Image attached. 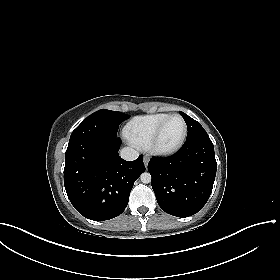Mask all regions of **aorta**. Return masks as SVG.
Here are the masks:
<instances>
[{
	"label": "aorta",
	"instance_id": "obj_1",
	"mask_svg": "<svg viewBox=\"0 0 280 280\" xmlns=\"http://www.w3.org/2000/svg\"><path fill=\"white\" fill-rule=\"evenodd\" d=\"M141 181L145 184L150 183L151 182V175L148 172H145L141 175L140 177Z\"/></svg>",
	"mask_w": 280,
	"mask_h": 280
}]
</instances>
